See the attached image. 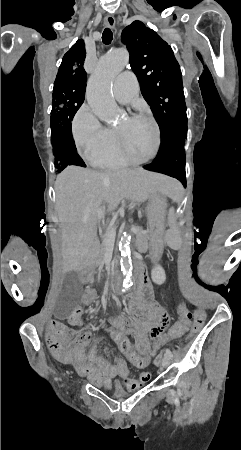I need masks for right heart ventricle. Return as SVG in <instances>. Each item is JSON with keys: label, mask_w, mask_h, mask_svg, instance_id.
Listing matches in <instances>:
<instances>
[{"label": "right heart ventricle", "mask_w": 241, "mask_h": 450, "mask_svg": "<svg viewBox=\"0 0 241 450\" xmlns=\"http://www.w3.org/2000/svg\"><path fill=\"white\" fill-rule=\"evenodd\" d=\"M105 130L108 129L104 128V131ZM127 152L129 153V151ZM122 154L125 155V153H122V149H119V144L115 141L114 136H112L105 152L99 155H87L85 160L91 166L101 168L122 167L128 165L132 160H134V157H130L128 160Z\"/></svg>", "instance_id": "right-heart-ventricle-1"}]
</instances>
